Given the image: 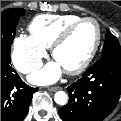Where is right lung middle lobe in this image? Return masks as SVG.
<instances>
[{"label":"right lung middle lobe","instance_id":"right-lung-middle-lobe-1","mask_svg":"<svg viewBox=\"0 0 121 121\" xmlns=\"http://www.w3.org/2000/svg\"><path fill=\"white\" fill-rule=\"evenodd\" d=\"M24 14L25 10L22 8H11L1 12V55H10L17 23Z\"/></svg>","mask_w":121,"mask_h":121}]
</instances>
